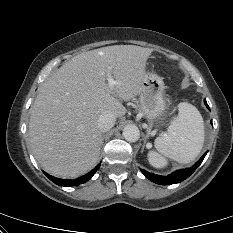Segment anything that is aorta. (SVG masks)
<instances>
[{
	"mask_svg": "<svg viewBox=\"0 0 233 233\" xmlns=\"http://www.w3.org/2000/svg\"><path fill=\"white\" fill-rule=\"evenodd\" d=\"M123 136L129 142H136L140 138V131L136 125H127L123 129Z\"/></svg>",
	"mask_w": 233,
	"mask_h": 233,
	"instance_id": "obj_1",
	"label": "aorta"
}]
</instances>
